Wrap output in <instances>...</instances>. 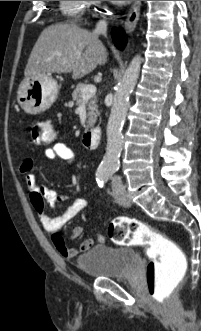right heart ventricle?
I'll return each mask as SVG.
<instances>
[{
	"instance_id": "right-heart-ventricle-1",
	"label": "right heart ventricle",
	"mask_w": 201,
	"mask_h": 331,
	"mask_svg": "<svg viewBox=\"0 0 201 331\" xmlns=\"http://www.w3.org/2000/svg\"><path fill=\"white\" fill-rule=\"evenodd\" d=\"M60 9L72 22H80L84 11L83 1H60Z\"/></svg>"
}]
</instances>
